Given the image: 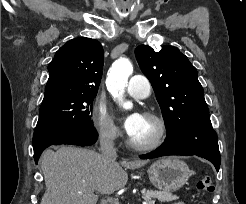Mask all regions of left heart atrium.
I'll return each instance as SVG.
<instances>
[{"instance_id": "39dd6f15", "label": "left heart atrium", "mask_w": 246, "mask_h": 204, "mask_svg": "<svg viewBox=\"0 0 246 204\" xmlns=\"http://www.w3.org/2000/svg\"><path fill=\"white\" fill-rule=\"evenodd\" d=\"M142 118L143 116L140 113L134 112L129 114L124 119V129L129 136H131L138 129Z\"/></svg>"}]
</instances>
